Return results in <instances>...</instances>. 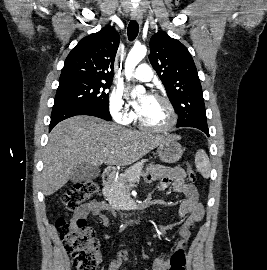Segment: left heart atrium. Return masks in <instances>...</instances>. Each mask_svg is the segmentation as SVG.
<instances>
[{"mask_svg":"<svg viewBox=\"0 0 267 270\" xmlns=\"http://www.w3.org/2000/svg\"><path fill=\"white\" fill-rule=\"evenodd\" d=\"M153 99V97L151 95H147L145 96L142 100H140L139 102H135L134 103V107L136 109V111L141 114L146 106L148 105V103Z\"/></svg>","mask_w":267,"mask_h":270,"instance_id":"1","label":"left heart atrium"}]
</instances>
